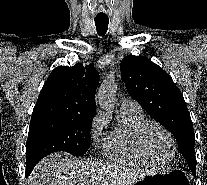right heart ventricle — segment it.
<instances>
[{"mask_svg":"<svg viewBox=\"0 0 207 185\" xmlns=\"http://www.w3.org/2000/svg\"><path fill=\"white\" fill-rule=\"evenodd\" d=\"M147 123L148 120L141 112L121 110L116 128L103 140L104 155L125 165L155 164V161L143 151L139 141L140 131Z\"/></svg>","mask_w":207,"mask_h":185,"instance_id":"1","label":"right heart ventricle"}]
</instances>
